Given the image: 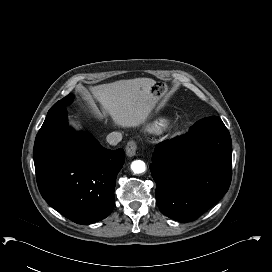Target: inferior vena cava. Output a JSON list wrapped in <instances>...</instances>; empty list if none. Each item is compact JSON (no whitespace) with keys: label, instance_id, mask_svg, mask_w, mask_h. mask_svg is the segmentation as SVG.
I'll return each mask as SVG.
<instances>
[{"label":"inferior vena cava","instance_id":"602c4592","mask_svg":"<svg viewBox=\"0 0 272 272\" xmlns=\"http://www.w3.org/2000/svg\"><path fill=\"white\" fill-rule=\"evenodd\" d=\"M106 140L110 145H117L122 140V134L120 132H111L107 135Z\"/></svg>","mask_w":272,"mask_h":272}]
</instances>
